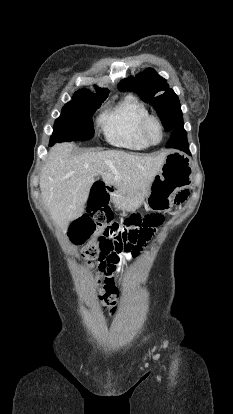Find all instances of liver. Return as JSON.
I'll return each mask as SVG.
<instances>
[{
    "label": "liver",
    "instance_id": "6515ba94",
    "mask_svg": "<svg viewBox=\"0 0 233 414\" xmlns=\"http://www.w3.org/2000/svg\"><path fill=\"white\" fill-rule=\"evenodd\" d=\"M73 148L74 143L52 147L39 182L43 203L62 229L82 215L90 188L99 175L106 185L120 190L111 194L116 207L136 210L168 154L151 156L109 150L73 155Z\"/></svg>",
    "mask_w": 233,
    "mask_h": 414
}]
</instances>
